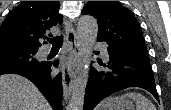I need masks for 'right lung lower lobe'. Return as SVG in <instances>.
I'll return each mask as SVG.
<instances>
[{"label": "right lung lower lobe", "mask_w": 171, "mask_h": 110, "mask_svg": "<svg viewBox=\"0 0 171 110\" xmlns=\"http://www.w3.org/2000/svg\"><path fill=\"white\" fill-rule=\"evenodd\" d=\"M53 65L57 66L58 61H55ZM51 66V62H43V64L38 67H19L12 70L2 71L0 72V75L11 73L28 78L45 96L53 110H63L61 105L63 96L61 75L58 74L55 77L51 76Z\"/></svg>", "instance_id": "right-lung-lower-lobe-1"}]
</instances>
